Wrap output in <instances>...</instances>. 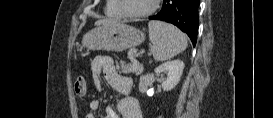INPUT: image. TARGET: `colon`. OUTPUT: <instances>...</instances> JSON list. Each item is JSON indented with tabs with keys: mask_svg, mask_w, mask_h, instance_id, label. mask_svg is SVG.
I'll return each instance as SVG.
<instances>
[{
	"mask_svg": "<svg viewBox=\"0 0 273 118\" xmlns=\"http://www.w3.org/2000/svg\"><path fill=\"white\" fill-rule=\"evenodd\" d=\"M74 89L78 96H84L86 94V81L82 76L76 78Z\"/></svg>",
	"mask_w": 273,
	"mask_h": 118,
	"instance_id": "colon-1",
	"label": "colon"
}]
</instances>
